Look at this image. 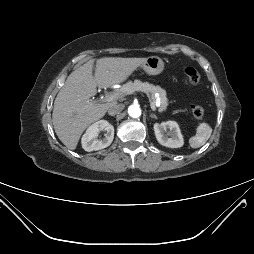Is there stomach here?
Segmentation results:
<instances>
[{"label": "stomach", "instance_id": "obj_1", "mask_svg": "<svg viewBox=\"0 0 254 254\" xmlns=\"http://www.w3.org/2000/svg\"><path fill=\"white\" fill-rule=\"evenodd\" d=\"M140 68L149 75H158L164 69V62L158 56H150L145 59Z\"/></svg>", "mask_w": 254, "mask_h": 254}]
</instances>
